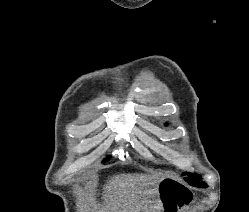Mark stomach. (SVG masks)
<instances>
[{"label":"stomach","mask_w":249,"mask_h":212,"mask_svg":"<svg viewBox=\"0 0 249 212\" xmlns=\"http://www.w3.org/2000/svg\"><path fill=\"white\" fill-rule=\"evenodd\" d=\"M157 192L163 212H181L184 206L193 202V196L187 192V188L172 178L160 180Z\"/></svg>","instance_id":"0dacf381"}]
</instances>
